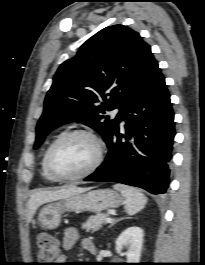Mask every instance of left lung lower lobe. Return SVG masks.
I'll return each mask as SVG.
<instances>
[{"label": "left lung lower lobe", "mask_w": 205, "mask_h": 265, "mask_svg": "<svg viewBox=\"0 0 205 265\" xmlns=\"http://www.w3.org/2000/svg\"><path fill=\"white\" fill-rule=\"evenodd\" d=\"M126 133L117 125L107 143L103 164L85 181L118 182L152 194H165L172 158L174 112L158 63L119 113Z\"/></svg>", "instance_id": "0a47b994"}]
</instances>
